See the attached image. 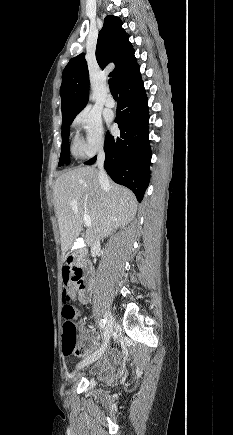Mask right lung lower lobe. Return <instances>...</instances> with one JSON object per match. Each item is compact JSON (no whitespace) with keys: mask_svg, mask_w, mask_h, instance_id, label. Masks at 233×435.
Wrapping results in <instances>:
<instances>
[{"mask_svg":"<svg viewBox=\"0 0 233 435\" xmlns=\"http://www.w3.org/2000/svg\"><path fill=\"white\" fill-rule=\"evenodd\" d=\"M119 102L116 119L120 136L107 132L104 168L118 184L131 189L142 201L150 180L151 149L148 132V99L140 72L118 85ZM96 156L85 162L92 165Z\"/></svg>","mask_w":233,"mask_h":435,"instance_id":"right-lung-lower-lobe-1","label":"right lung lower lobe"}]
</instances>
